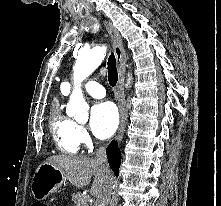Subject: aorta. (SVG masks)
I'll use <instances>...</instances> for the list:
<instances>
[{
	"label": "aorta",
	"instance_id": "762f6f07",
	"mask_svg": "<svg viewBox=\"0 0 221 206\" xmlns=\"http://www.w3.org/2000/svg\"><path fill=\"white\" fill-rule=\"evenodd\" d=\"M106 55V46H96L79 52L73 68L74 90L70 96L67 113L76 121L87 120L89 106L86 103L81 83L102 63Z\"/></svg>",
	"mask_w": 221,
	"mask_h": 206
}]
</instances>
